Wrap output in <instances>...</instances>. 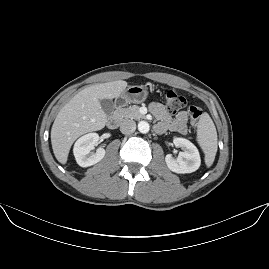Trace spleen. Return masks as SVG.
<instances>
[{
  "mask_svg": "<svg viewBox=\"0 0 269 269\" xmlns=\"http://www.w3.org/2000/svg\"><path fill=\"white\" fill-rule=\"evenodd\" d=\"M197 142L205 154V163L210 167L217 152V131L216 127L207 113L200 116L197 124Z\"/></svg>",
  "mask_w": 269,
  "mask_h": 269,
  "instance_id": "obj_1",
  "label": "spleen"
}]
</instances>
